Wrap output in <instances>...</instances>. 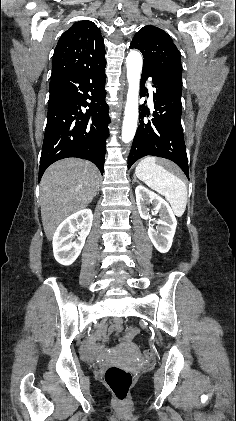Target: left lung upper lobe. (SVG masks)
<instances>
[{
	"instance_id": "1",
	"label": "left lung upper lobe",
	"mask_w": 236,
	"mask_h": 421,
	"mask_svg": "<svg viewBox=\"0 0 236 421\" xmlns=\"http://www.w3.org/2000/svg\"><path fill=\"white\" fill-rule=\"evenodd\" d=\"M130 48L142 52L143 68L155 75L173 77L182 83L180 53L165 31L155 26H145L136 33Z\"/></svg>"
}]
</instances>
